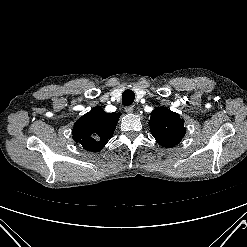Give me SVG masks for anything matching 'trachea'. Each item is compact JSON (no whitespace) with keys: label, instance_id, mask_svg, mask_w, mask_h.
<instances>
[{"label":"trachea","instance_id":"1","mask_svg":"<svg viewBox=\"0 0 247 247\" xmlns=\"http://www.w3.org/2000/svg\"><path fill=\"white\" fill-rule=\"evenodd\" d=\"M135 94L132 90H125L122 94V104L124 106H129L134 102Z\"/></svg>","mask_w":247,"mask_h":247}]
</instances>
